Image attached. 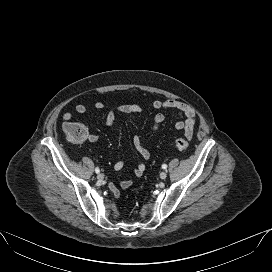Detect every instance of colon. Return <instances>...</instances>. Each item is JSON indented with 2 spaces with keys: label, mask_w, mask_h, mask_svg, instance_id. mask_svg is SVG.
<instances>
[{
  "label": "colon",
  "mask_w": 272,
  "mask_h": 272,
  "mask_svg": "<svg viewBox=\"0 0 272 272\" xmlns=\"http://www.w3.org/2000/svg\"><path fill=\"white\" fill-rule=\"evenodd\" d=\"M64 131L66 136L73 142H83L88 138L87 129L76 122H67L64 124ZM190 133L188 132L185 137L177 138L175 141L176 147L181 150H187L189 146Z\"/></svg>",
  "instance_id": "5ec220e1"
}]
</instances>
